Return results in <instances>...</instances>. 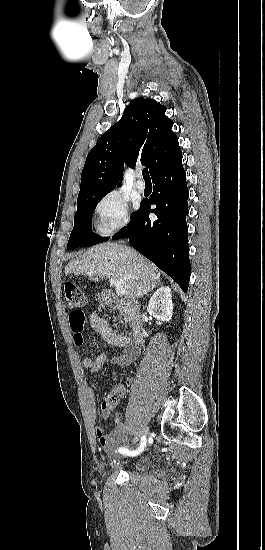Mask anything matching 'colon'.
I'll list each match as a JSON object with an SVG mask.
<instances>
[{
    "instance_id": "1",
    "label": "colon",
    "mask_w": 265,
    "mask_h": 550,
    "mask_svg": "<svg viewBox=\"0 0 265 550\" xmlns=\"http://www.w3.org/2000/svg\"><path fill=\"white\" fill-rule=\"evenodd\" d=\"M66 304L72 309L69 314V322L74 334V337L79 340L80 334L85 326V315L83 308L87 303V296L84 290L72 282H67L64 285ZM122 395V391L119 388H111L105 395L103 406L109 408L117 403Z\"/></svg>"
}]
</instances>
